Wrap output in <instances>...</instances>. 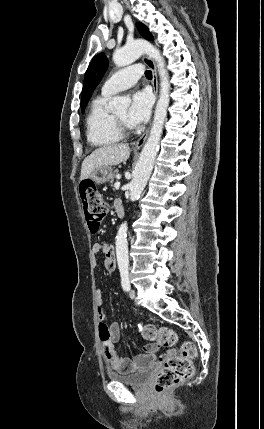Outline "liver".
<instances>
[{
	"label": "liver",
	"instance_id": "liver-1",
	"mask_svg": "<svg viewBox=\"0 0 264 429\" xmlns=\"http://www.w3.org/2000/svg\"><path fill=\"white\" fill-rule=\"evenodd\" d=\"M130 156V148L127 144H115L103 146L87 156L81 167L80 180H85L98 168L112 166L126 161Z\"/></svg>",
	"mask_w": 264,
	"mask_h": 429
}]
</instances>
